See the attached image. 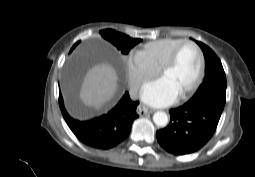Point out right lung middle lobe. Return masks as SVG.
<instances>
[{
    "instance_id": "right-lung-middle-lobe-1",
    "label": "right lung middle lobe",
    "mask_w": 255,
    "mask_h": 177,
    "mask_svg": "<svg viewBox=\"0 0 255 177\" xmlns=\"http://www.w3.org/2000/svg\"><path fill=\"white\" fill-rule=\"evenodd\" d=\"M100 34L105 40L112 43L123 54H128L132 47L142 41L141 39L130 38L129 36L112 29L101 30Z\"/></svg>"
}]
</instances>
